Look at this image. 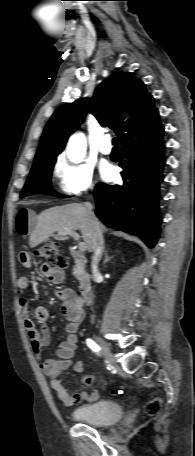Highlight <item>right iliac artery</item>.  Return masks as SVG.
Masks as SVG:
<instances>
[{
	"mask_svg": "<svg viewBox=\"0 0 195 456\" xmlns=\"http://www.w3.org/2000/svg\"><path fill=\"white\" fill-rule=\"evenodd\" d=\"M86 344L93 352L99 354L100 347L92 339H87Z\"/></svg>",
	"mask_w": 195,
	"mask_h": 456,
	"instance_id": "obj_1",
	"label": "right iliac artery"
}]
</instances>
